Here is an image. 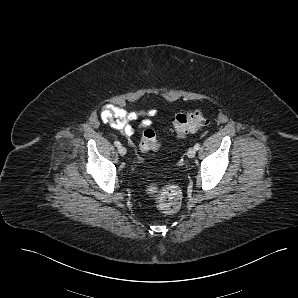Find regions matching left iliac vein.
Masks as SVG:
<instances>
[{
	"instance_id": "1",
	"label": "left iliac vein",
	"mask_w": 298,
	"mask_h": 298,
	"mask_svg": "<svg viewBox=\"0 0 298 298\" xmlns=\"http://www.w3.org/2000/svg\"><path fill=\"white\" fill-rule=\"evenodd\" d=\"M195 155H196V150H195V148H189V150H188V152H187V156H188L189 158H194Z\"/></svg>"
}]
</instances>
